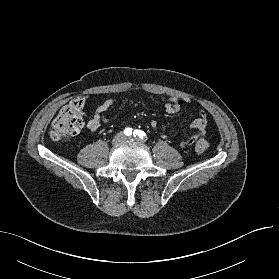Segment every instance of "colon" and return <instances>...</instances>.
<instances>
[{
  "label": "colon",
  "instance_id": "obj_1",
  "mask_svg": "<svg viewBox=\"0 0 279 279\" xmlns=\"http://www.w3.org/2000/svg\"><path fill=\"white\" fill-rule=\"evenodd\" d=\"M82 98L73 99L65 106L52 122L50 136L55 141L66 140L77 135L83 127ZM210 143L205 138H198L195 142V149L199 153L206 152Z\"/></svg>",
  "mask_w": 279,
  "mask_h": 279
}]
</instances>
